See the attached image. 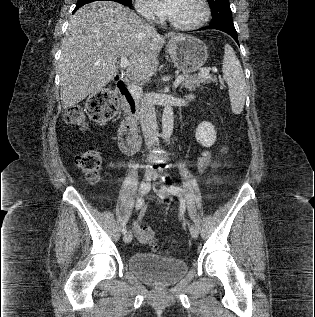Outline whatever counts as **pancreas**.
Instances as JSON below:
<instances>
[{
    "mask_svg": "<svg viewBox=\"0 0 315 317\" xmlns=\"http://www.w3.org/2000/svg\"><path fill=\"white\" fill-rule=\"evenodd\" d=\"M215 82L217 83V78L213 75H207L204 77H198V76H191L188 74H185L183 76L182 81V87H185L189 89L190 91L195 90L197 87H200V85ZM137 107H139V100H135ZM128 114V111L126 112Z\"/></svg>",
    "mask_w": 315,
    "mask_h": 317,
    "instance_id": "cf45deb5",
    "label": "pancreas"
}]
</instances>
